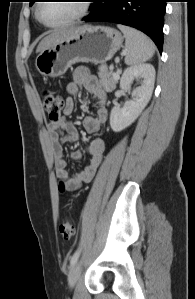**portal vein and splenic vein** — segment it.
<instances>
[{
  "mask_svg": "<svg viewBox=\"0 0 195 299\" xmlns=\"http://www.w3.org/2000/svg\"><path fill=\"white\" fill-rule=\"evenodd\" d=\"M120 71L118 70L116 73H113L114 78H119Z\"/></svg>",
  "mask_w": 195,
  "mask_h": 299,
  "instance_id": "18ae733b",
  "label": "portal vein and splenic vein"
}]
</instances>
